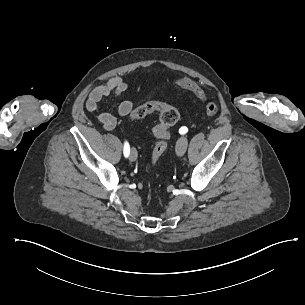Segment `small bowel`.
<instances>
[{"label": "small bowel", "instance_id": "1", "mask_svg": "<svg viewBox=\"0 0 305 305\" xmlns=\"http://www.w3.org/2000/svg\"><path fill=\"white\" fill-rule=\"evenodd\" d=\"M128 91V85L119 76L112 77L106 84L94 88L86 101V109L95 115L96 120L107 130H113L117 125V119L112 114L100 111V102L110 96H120ZM133 101L130 98L122 101L118 107V115L126 117L133 111Z\"/></svg>", "mask_w": 305, "mask_h": 305}]
</instances>
